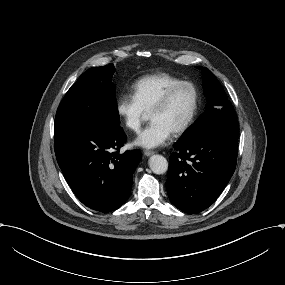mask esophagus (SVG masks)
I'll return each instance as SVG.
<instances>
[{"label": "esophagus", "mask_w": 285, "mask_h": 285, "mask_svg": "<svg viewBox=\"0 0 285 285\" xmlns=\"http://www.w3.org/2000/svg\"><path fill=\"white\" fill-rule=\"evenodd\" d=\"M154 152L151 150H144V155L145 156H151Z\"/></svg>", "instance_id": "obj_1"}]
</instances>
